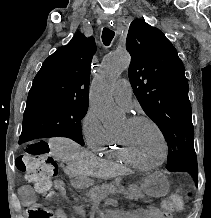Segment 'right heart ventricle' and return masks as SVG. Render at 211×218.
Instances as JSON below:
<instances>
[{
  "label": "right heart ventricle",
  "instance_id": "right-heart-ventricle-1",
  "mask_svg": "<svg viewBox=\"0 0 211 218\" xmlns=\"http://www.w3.org/2000/svg\"><path fill=\"white\" fill-rule=\"evenodd\" d=\"M95 150L103 154L104 156L117 160L119 162H124L128 164L132 163L121 150L117 142L116 135L113 133L109 132V135L106 138V140Z\"/></svg>",
  "mask_w": 211,
  "mask_h": 218
}]
</instances>
